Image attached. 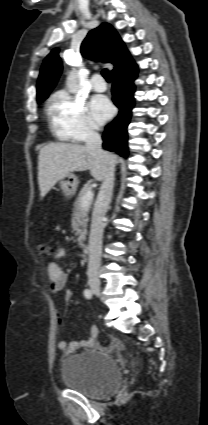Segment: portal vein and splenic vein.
Returning a JSON list of instances; mask_svg holds the SVG:
<instances>
[{"instance_id": "1", "label": "portal vein and splenic vein", "mask_w": 208, "mask_h": 425, "mask_svg": "<svg viewBox=\"0 0 208 425\" xmlns=\"http://www.w3.org/2000/svg\"><path fill=\"white\" fill-rule=\"evenodd\" d=\"M93 199V192L87 191L83 197L82 206H85L89 201Z\"/></svg>"}]
</instances>
